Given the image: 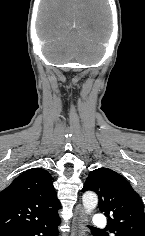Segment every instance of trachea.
<instances>
[{
  "mask_svg": "<svg viewBox=\"0 0 145 236\" xmlns=\"http://www.w3.org/2000/svg\"><path fill=\"white\" fill-rule=\"evenodd\" d=\"M91 229H97V228H95V227H90Z\"/></svg>",
  "mask_w": 145,
  "mask_h": 236,
  "instance_id": "1",
  "label": "trachea"
}]
</instances>
